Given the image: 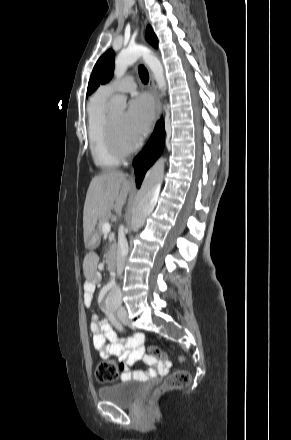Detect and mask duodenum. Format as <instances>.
<instances>
[{
  "label": "duodenum",
  "mask_w": 291,
  "mask_h": 440,
  "mask_svg": "<svg viewBox=\"0 0 291 440\" xmlns=\"http://www.w3.org/2000/svg\"><path fill=\"white\" fill-rule=\"evenodd\" d=\"M106 262L109 272H113L116 265V250L111 249L106 255Z\"/></svg>",
  "instance_id": "1"
}]
</instances>
